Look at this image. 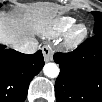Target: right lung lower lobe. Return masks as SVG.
<instances>
[{
	"mask_svg": "<svg viewBox=\"0 0 102 102\" xmlns=\"http://www.w3.org/2000/svg\"><path fill=\"white\" fill-rule=\"evenodd\" d=\"M44 66L41 50L27 55L0 46V100L23 102L30 81Z\"/></svg>",
	"mask_w": 102,
	"mask_h": 102,
	"instance_id": "obj_1",
	"label": "right lung lower lobe"
}]
</instances>
